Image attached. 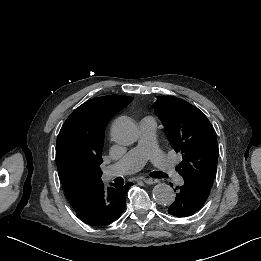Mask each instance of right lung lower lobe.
Instances as JSON below:
<instances>
[{"mask_svg": "<svg viewBox=\"0 0 261 261\" xmlns=\"http://www.w3.org/2000/svg\"><path fill=\"white\" fill-rule=\"evenodd\" d=\"M133 185L129 182L124 186L115 184L105 188L98 184L76 203L71 204L81 221L92 226L108 225L116 221L126 206V192Z\"/></svg>", "mask_w": 261, "mask_h": 261, "instance_id": "right-lung-lower-lobe-1", "label": "right lung lower lobe"}]
</instances>
